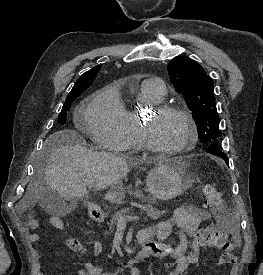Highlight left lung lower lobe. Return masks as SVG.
Returning <instances> with one entry per match:
<instances>
[{"label": "left lung lower lobe", "instance_id": "1", "mask_svg": "<svg viewBox=\"0 0 263 275\" xmlns=\"http://www.w3.org/2000/svg\"><path fill=\"white\" fill-rule=\"evenodd\" d=\"M208 152L210 154L216 155L223 160H225L226 164L229 166V161L227 155L223 152L222 147L220 144H211L208 146Z\"/></svg>", "mask_w": 263, "mask_h": 275}]
</instances>
